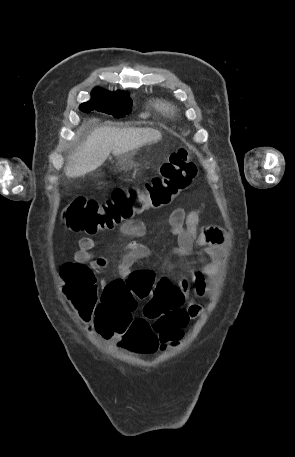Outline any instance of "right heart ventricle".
Listing matches in <instances>:
<instances>
[{
	"mask_svg": "<svg viewBox=\"0 0 295 457\" xmlns=\"http://www.w3.org/2000/svg\"><path fill=\"white\" fill-rule=\"evenodd\" d=\"M157 107H158L161 111H163V112H165V113L170 112L169 106L166 105L165 103L159 102V103L157 104Z\"/></svg>",
	"mask_w": 295,
	"mask_h": 457,
	"instance_id": "e07e8e85",
	"label": "right heart ventricle"
}]
</instances>
